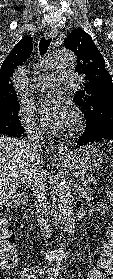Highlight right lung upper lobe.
<instances>
[{
  "label": "right lung upper lobe",
  "mask_w": 113,
  "mask_h": 279,
  "mask_svg": "<svg viewBox=\"0 0 113 279\" xmlns=\"http://www.w3.org/2000/svg\"><path fill=\"white\" fill-rule=\"evenodd\" d=\"M32 49L31 38L23 37L4 60L0 69V109L18 102L12 83L13 73L29 58Z\"/></svg>",
  "instance_id": "right-lung-upper-lobe-1"
}]
</instances>
